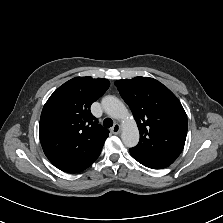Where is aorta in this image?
<instances>
[{"label":"aorta","mask_w":223,"mask_h":223,"mask_svg":"<svg viewBox=\"0 0 223 223\" xmlns=\"http://www.w3.org/2000/svg\"><path fill=\"white\" fill-rule=\"evenodd\" d=\"M102 108L105 113L111 118L117 120H123L121 139L126 147H134L139 142V130L137 124L133 118H129L130 114L123 104L117 97L107 95L102 98Z\"/></svg>","instance_id":"aorta-1"}]
</instances>
